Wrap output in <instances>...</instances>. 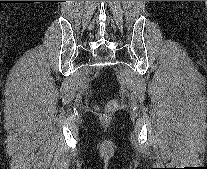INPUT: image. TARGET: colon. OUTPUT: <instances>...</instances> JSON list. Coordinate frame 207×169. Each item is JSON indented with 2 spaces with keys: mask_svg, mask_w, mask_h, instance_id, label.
I'll list each match as a JSON object with an SVG mask.
<instances>
[{
  "mask_svg": "<svg viewBox=\"0 0 207 169\" xmlns=\"http://www.w3.org/2000/svg\"><path fill=\"white\" fill-rule=\"evenodd\" d=\"M117 107V103L116 102H110L109 104H108V109L109 110H114L115 108Z\"/></svg>",
  "mask_w": 207,
  "mask_h": 169,
  "instance_id": "5ec220e1",
  "label": "colon"
}]
</instances>
